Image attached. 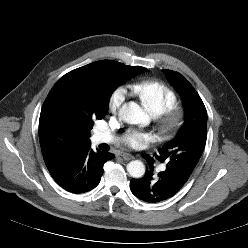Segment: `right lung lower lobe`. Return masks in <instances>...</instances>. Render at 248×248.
Returning <instances> with one entry per match:
<instances>
[{
    "label": "right lung lower lobe",
    "mask_w": 248,
    "mask_h": 248,
    "mask_svg": "<svg viewBox=\"0 0 248 248\" xmlns=\"http://www.w3.org/2000/svg\"><path fill=\"white\" fill-rule=\"evenodd\" d=\"M91 145L83 147L49 170L53 179L71 193H84L94 189L100 182L104 163L114 154L94 152Z\"/></svg>",
    "instance_id": "right-lung-lower-lobe-1"
}]
</instances>
